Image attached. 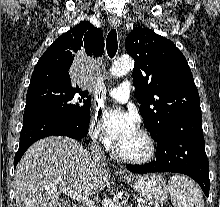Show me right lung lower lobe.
Wrapping results in <instances>:
<instances>
[{"label": "right lung lower lobe", "mask_w": 220, "mask_h": 207, "mask_svg": "<svg viewBox=\"0 0 220 207\" xmlns=\"http://www.w3.org/2000/svg\"><path fill=\"white\" fill-rule=\"evenodd\" d=\"M89 120H80L46 109L34 108L24 112L19 149L14 167L35 141L53 135L82 139L88 133Z\"/></svg>", "instance_id": "obj_1"}]
</instances>
